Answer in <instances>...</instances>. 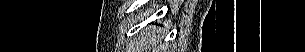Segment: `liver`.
<instances>
[{
    "instance_id": "obj_1",
    "label": "liver",
    "mask_w": 305,
    "mask_h": 52,
    "mask_svg": "<svg viewBox=\"0 0 305 52\" xmlns=\"http://www.w3.org/2000/svg\"><path fill=\"white\" fill-rule=\"evenodd\" d=\"M157 43H158L157 39L152 40V47H153V49L156 48Z\"/></svg>"
}]
</instances>
